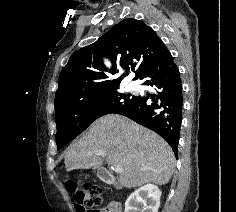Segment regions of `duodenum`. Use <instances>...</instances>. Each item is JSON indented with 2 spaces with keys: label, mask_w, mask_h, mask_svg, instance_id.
<instances>
[{
  "label": "duodenum",
  "mask_w": 236,
  "mask_h": 212,
  "mask_svg": "<svg viewBox=\"0 0 236 212\" xmlns=\"http://www.w3.org/2000/svg\"><path fill=\"white\" fill-rule=\"evenodd\" d=\"M99 177H100V179L103 181V182H105V183H107V184H112L113 183V176L111 175V173L107 170V169H105V168H101L100 170H99Z\"/></svg>",
  "instance_id": "1"
}]
</instances>
